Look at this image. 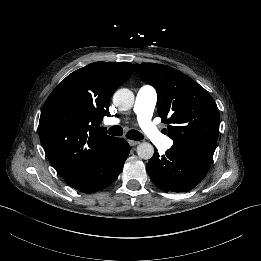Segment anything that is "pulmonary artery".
<instances>
[{
	"instance_id": "pulmonary-artery-1",
	"label": "pulmonary artery",
	"mask_w": 261,
	"mask_h": 261,
	"mask_svg": "<svg viewBox=\"0 0 261 261\" xmlns=\"http://www.w3.org/2000/svg\"><path fill=\"white\" fill-rule=\"evenodd\" d=\"M157 104V93L155 89L149 85H143L137 92L134 111L137 116V121L143 132L149 136L150 141L154 146L163 150L172 148V141L169 137L162 136L158 129L152 124L151 118ZM112 124H117V118L110 119Z\"/></svg>"
}]
</instances>
